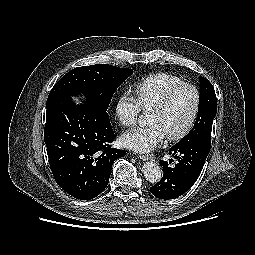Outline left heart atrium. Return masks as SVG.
Masks as SVG:
<instances>
[{"label": "left heart atrium", "instance_id": "1", "mask_svg": "<svg viewBox=\"0 0 255 255\" xmlns=\"http://www.w3.org/2000/svg\"><path fill=\"white\" fill-rule=\"evenodd\" d=\"M166 134L157 123L146 127H137L121 134L119 142L121 146L135 152H149L162 143Z\"/></svg>", "mask_w": 255, "mask_h": 255}]
</instances>
